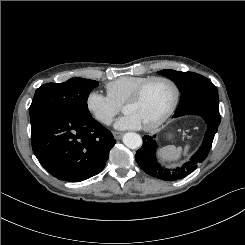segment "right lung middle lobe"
<instances>
[{
    "instance_id": "dd1d6c3e",
    "label": "right lung middle lobe",
    "mask_w": 245,
    "mask_h": 245,
    "mask_svg": "<svg viewBox=\"0 0 245 245\" xmlns=\"http://www.w3.org/2000/svg\"><path fill=\"white\" fill-rule=\"evenodd\" d=\"M98 82L71 78L64 83H47L39 87L29 108L30 119L43 112H56L68 117L91 116L87 99Z\"/></svg>"
}]
</instances>
